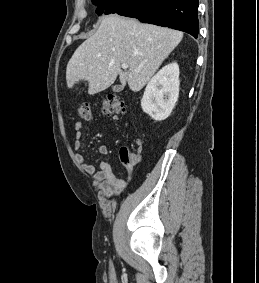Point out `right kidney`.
<instances>
[{
  "label": "right kidney",
  "instance_id": "obj_1",
  "mask_svg": "<svg viewBox=\"0 0 259 283\" xmlns=\"http://www.w3.org/2000/svg\"><path fill=\"white\" fill-rule=\"evenodd\" d=\"M179 66L176 62L163 67L146 86L141 107L152 119L165 120L179 96Z\"/></svg>",
  "mask_w": 259,
  "mask_h": 283
}]
</instances>
